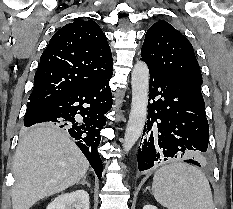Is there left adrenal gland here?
Returning <instances> with one entry per match:
<instances>
[{"instance_id":"obj_1","label":"left adrenal gland","mask_w":233,"mask_h":209,"mask_svg":"<svg viewBox=\"0 0 233 209\" xmlns=\"http://www.w3.org/2000/svg\"><path fill=\"white\" fill-rule=\"evenodd\" d=\"M146 190H150V187H147ZM146 190H145V191H146Z\"/></svg>"}]
</instances>
